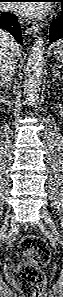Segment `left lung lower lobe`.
<instances>
[{
	"mask_svg": "<svg viewBox=\"0 0 63 297\" xmlns=\"http://www.w3.org/2000/svg\"><path fill=\"white\" fill-rule=\"evenodd\" d=\"M60 38H63V6L60 17L53 21L50 27V41L54 42Z\"/></svg>",
	"mask_w": 63,
	"mask_h": 297,
	"instance_id": "obj_1",
	"label": "left lung lower lobe"
}]
</instances>
